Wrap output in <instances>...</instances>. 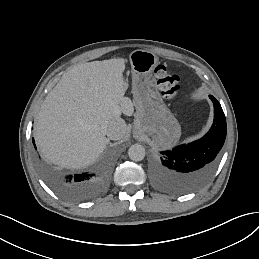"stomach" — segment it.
Returning a JSON list of instances; mask_svg holds the SVG:
<instances>
[{"mask_svg":"<svg viewBox=\"0 0 259 259\" xmlns=\"http://www.w3.org/2000/svg\"><path fill=\"white\" fill-rule=\"evenodd\" d=\"M129 60L133 75H150L159 62L155 53L140 49L132 51Z\"/></svg>","mask_w":259,"mask_h":259,"instance_id":"1","label":"stomach"}]
</instances>
